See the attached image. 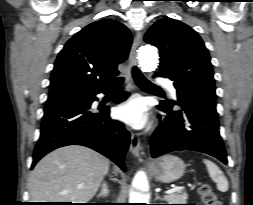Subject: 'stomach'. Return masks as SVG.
Instances as JSON below:
<instances>
[{
  "mask_svg": "<svg viewBox=\"0 0 253 205\" xmlns=\"http://www.w3.org/2000/svg\"><path fill=\"white\" fill-rule=\"evenodd\" d=\"M152 171L157 180L170 183L183 176L185 164L180 158L167 155L153 166Z\"/></svg>",
  "mask_w": 253,
  "mask_h": 205,
  "instance_id": "0dacf381",
  "label": "stomach"
}]
</instances>
